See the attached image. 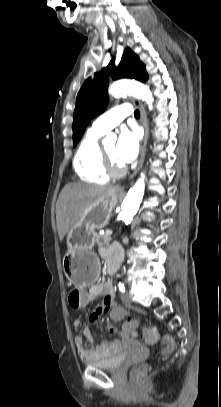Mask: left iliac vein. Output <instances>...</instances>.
I'll use <instances>...</instances> for the list:
<instances>
[{
  "label": "left iliac vein",
  "instance_id": "obj_1",
  "mask_svg": "<svg viewBox=\"0 0 221 407\" xmlns=\"http://www.w3.org/2000/svg\"><path fill=\"white\" fill-rule=\"evenodd\" d=\"M121 300L126 305L131 304V302H132L131 296L128 292H125L124 294H122Z\"/></svg>",
  "mask_w": 221,
  "mask_h": 407
}]
</instances>
